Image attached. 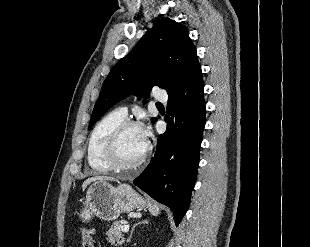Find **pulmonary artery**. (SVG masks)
Here are the masks:
<instances>
[{"label": "pulmonary artery", "mask_w": 310, "mask_h": 247, "mask_svg": "<svg viewBox=\"0 0 310 247\" xmlns=\"http://www.w3.org/2000/svg\"><path fill=\"white\" fill-rule=\"evenodd\" d=\"M154 98L157 101L166 102L167 101V94L163 92H156L154 93ZM123 116L126 117L127 115V108L126 107H120L117 109Z\"/></svg>", "instance_id": "pulmonary-artery-1"}]
</instances>
